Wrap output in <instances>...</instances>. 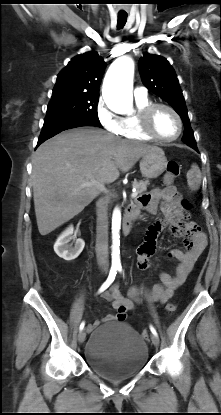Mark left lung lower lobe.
Returning a JSON list of instances; mask_svg holds the SVG:
<instances>
[{"label":"left lung lower lobe","mask_w":221,"mask_h":415,"mask_svg":"<svg viewBox=\"0 0 221 415\" xmlns=\"http://www.w3.org/2000/svg\"><path fill=\"white\" fill-rule=\"evenodd\" d=\"M190 147H192L194 150L198 151L197 145H191Z\"/></svg>","instance_id":"1"}]
</instances>
